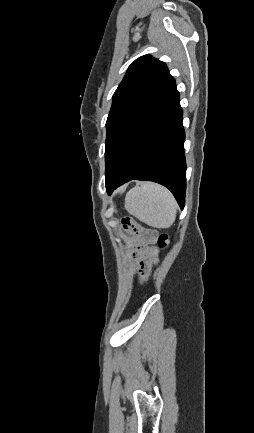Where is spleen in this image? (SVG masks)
<instances>
[{"label":"spleen","mask_w":254,"mask_h":433,"mask_svg":"<svg viewBox=\"0 0 254 433\" xmlns=\"http://www.w3.org/2000/svg\"><path fill=\"white\" fill-rule=\"evenodd\" d=\"M125 208L145 224L155 228H169L175 221L177 203L165 187L143 182L126 194Z\"/></svg>","instance_id":"3e777b00"}]
</instances>
